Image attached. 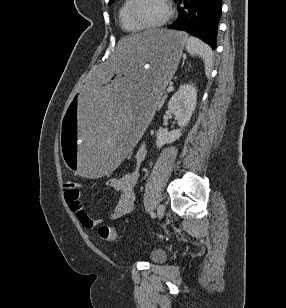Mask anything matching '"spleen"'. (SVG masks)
<instances>
[{"label":"spleen","mask_w":286,"mask_h":308,"mask_svg":"<svg viewBox=\"0 0 286 308\" xmlns=\"http://www.w3.org/2000/svg\"><path fill=\"white\" fill-rule=\"evenodd\" d=\"M186 50L192 56L200 57L205 66V74L208 77L213 67V52L209 45L200 39L190 36L186 40Z\"/></svg>","instance_id":"3e777b00"}]
</instances>
